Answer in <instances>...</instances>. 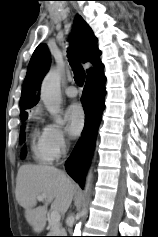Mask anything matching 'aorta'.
Returning a JSON list of instances; mask_svg holds the SVG:
<instances>
[{"label": "aorta", "mask_w": 158, "mask_h": 237, "mask_svg": "<svg viewBox=\"0 0 158 237\" xmlns=\"http://www.w3.org/2000/svg\"><path fill=\"white\" fill-rule=\"evenodd\" d=\"M41 100L51 115L55 117L57 123L62 124L63 121L59 117L61 96H60V75L56 69H51L44 77L41 84L40 92ZM92 174L88 173L84 188V195L86 196L90 190ZM86 215V208L81 212V216ZM80 224L77 228V233L80 231Z\"/></svg>", "instance_id": "1"}]
</instances>
